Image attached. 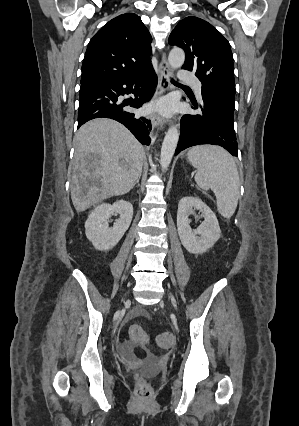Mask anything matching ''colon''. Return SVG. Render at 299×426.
Segmentation results:
<instances>
[{"mask_svg": "<svg viewBox=\"0 0 299 426\" xmlns=\"http://www.w3.org/2000/svg\"><path fill=\"white\" fill-rule=\"evenodd\" d=\"M129 335L132 341L142 344L148 343V337L139 325H132L129 329ZM156 342L159 347L168 349L174 344V337L169 332L161 333L157 336ZM135 395L138 400L145 402L152 396V387L149 382L142 378H136Z\"/></svg>", "mask_w": 299, "mask_h": 426, "instance_id": "1", "label": "colon"}]
</instances>
